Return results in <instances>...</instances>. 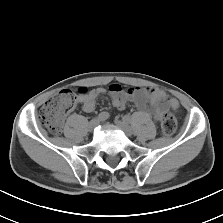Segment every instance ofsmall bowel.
Segmentation results:
<instances>
[{"label": "small bowel", "instance_id": "small-bowel-1", "mask_svg": "<svg viewBox=\"0 0 223 223\" xmlns=\"http://www.w3.org/2000/svg\"><path fill=\"white\" fill-rule=\"evenodd\" d=\"M105 92L106 90L104 88H94L85 94H80L77 99L82 105V109L89 113L95 110L98 99H100ZM109 93L112 105L116 109H125L128 101L134 102L140 109H144L148 105L154 113L156 120H158L167 109L171 108L176 110L179 107L176 99L164 91L157 89L141 87L126 88L114 84L109 87Z\"/></svg>", "mask_w": 223, "mask_h": 223}]
</instances>
